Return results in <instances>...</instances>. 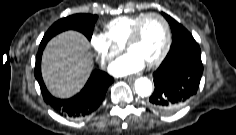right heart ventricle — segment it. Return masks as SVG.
<instances>
[{
    "label": "right heart ventricle",
    "instance_id": "e07e8e85",
    "mask_svg": "<svg viewBox=\"0 0 236 135\" xmlns=\"http://www.w3.org/2000/svg\"><path fill=\"white\" fill-rule=\"evenodd\" d=\"M143 15L141 13L131 16H120L110 20L105 25V35L114 45L120 48L123 47L134 25Z\"/></svg>",
    "mask_w": 236,
    "mask_h": 135
}]
</instances>
